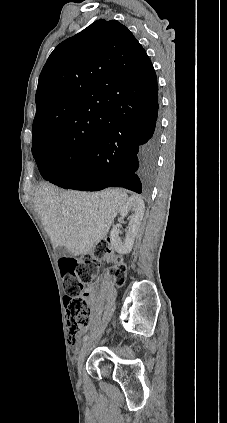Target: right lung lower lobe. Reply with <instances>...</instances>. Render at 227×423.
<instances>
[{
    "label": "right lung lower lobe",
    "mask_w": 227,
    "mask_h": 423,
    "mask_svg": "<svg viewBox=\"0 0 227 423\" xmlns=\"http://www.w3.org/2000/svg\"><path fill=\"white\" fill-rule=\"evenodd\" d=\"M158 88L153 95L133 98L108 109L114 126L101 131L88 156L62 173L39 167L42 177L66 189L99 191L123 187L137 193L151 187L159 149Z\"/></svg>",
    "instance_id": "obj_1"
}]
</instances>
